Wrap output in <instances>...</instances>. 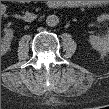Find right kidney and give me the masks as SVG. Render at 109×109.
<instances>
[{
  "label": "right kidney",
  "mask_w": 109,
  "mask_h": 109,
  "mask_svg": "<svg viewBox=\"0 0 109 109\" xmlns=\"http://www.w3.org/2000/svg\"><path fill=\"white\" fill-rule=\"evenodd\" d=\"M13 38V30L12 29H5V35L1 39V53L5 54L10 49L11 41Z\"/></svg>",
  "instance_id": "ca27d5eb"
}]
</instances>
